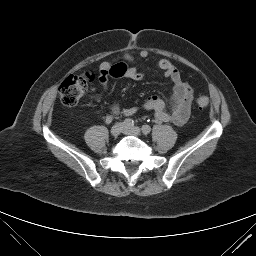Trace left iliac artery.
Masks as SVG:
<instances>
[{
	"instance_id": "1",
	"label": "left iliac artery",
	"mask_w": 256,
	"mask_h": 256,
	"mask_svg": "<svg viewBox=\"0 0 256 256\" xmlns=\"http://www.w3.org/2000/svg\"><path fill=\"white\" fill-rule=\"evenodd\" d=\"M142 132L144 134H149L151 132V127L149 125H147V124L143 125L142 126Z\"/></svg>"
}]
</instances>
